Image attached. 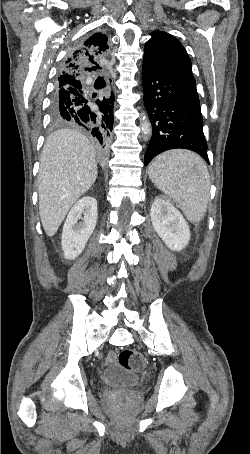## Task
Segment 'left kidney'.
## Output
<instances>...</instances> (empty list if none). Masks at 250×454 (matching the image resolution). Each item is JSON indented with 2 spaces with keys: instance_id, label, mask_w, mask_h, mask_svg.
I'll list each match as a JSON object with an SVG mask.
<instances>
[{
  "instance_id": "5707ae66",
  "label": "left kidney",
  "mask_w": 250,
  "mask_h": 454,
  "mask_svg": "<svg viewBox=\"0 0 250 454\" xmlns=\"http://www.w3.org/2000/svg\"><path fill=\"white\" fill-rule=\"evenodd\" d=\"M154 230L172 251H181L190 240V229L179 210L168 200L156 197L150 210Z\"/></svg>"
}]
</instances>
